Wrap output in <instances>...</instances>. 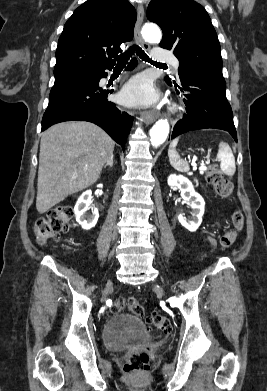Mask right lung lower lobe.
Masks as SVG:
<instances>
[{
	"mask_svg": "<svg viewBox=\"0 0 267 391\" xmlns=\"http://www.w3.org/2000/svg\"><path fill=\"white\" fill-rule=\"evenodd\" d=\"M136 65L137 60L133 59L127 70H132ZM112 68L113 66L99 67L80 79L54 86L43 115L42 131L59 122L89 121L104 129L124 150L133 117L107 100L113 89L99 86L100 79L107 75L104 70Z\"/></svg>",
	"mask_w": 267,
	"mask_h": 391,
	"instance_id": "98d812e1",
	"label": "right lung lower lobe"
}]
</instances>
